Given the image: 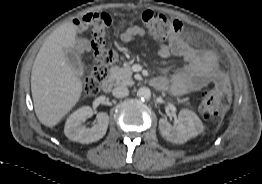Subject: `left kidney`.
<instances>
[{"mask_svg": "<svg viewBox=\"0 0 262 184\" xmlns=\"http://www.w3.org/2000/svg\"><path fill=\"white\" fill-rule=\"evenodd\" d=\"M178 125L173 127L165 118L159 120L161 135L168 141L182 144L204 131L199 117L191 110L183 109L178 115Z\"/></svg>", "mask_w": 262, "mask_h": 184, "instance_id": "1", "label": "left kidney"}]
</instances>
